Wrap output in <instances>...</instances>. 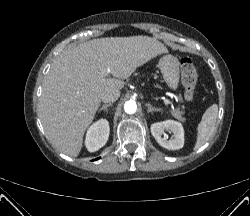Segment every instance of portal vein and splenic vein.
I'll list each match as a JSON object with an SVG mask.
<instances>
[{"mask_svg":"<svg viewBox=\"0 0 250 216\" xmlns=\"http://www.w3.org/2000/svg\"><path fill=\"white\" fill-rule=\"evenodd\" d=\"M107 73H110V70L108 69L107 70ZM164 103L168 106L169 104H171L172 105V103L169 101V100H164Z\"/></svg>","mask_w":250,"mask_h":216,"instance_id":"portal-vein-and-splenic-vein-1","label":"portal vein and splenic vein"}]
</instances>
